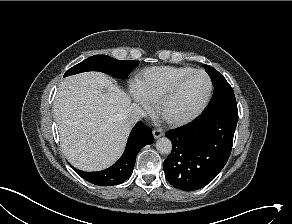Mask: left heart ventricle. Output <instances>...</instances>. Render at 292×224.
<instances>
[{
  "mask_svg": "<svg viewBox=\"0 0 292 224\" xmlns=\"http://www.w3.org/2000/svg\"><path fill=\"white\" fill-rule=\"evenodd\" d=\"M208 86V80L205 75H193L165 105L163 116L167 119H180L190 115L205 99Z\"/></svg>",
  "mask_w": 292,
  "mask_h": 224,
  "instance_id": "b2bd125f",
  "label": "left heart ventricle"
}]
</instances>
